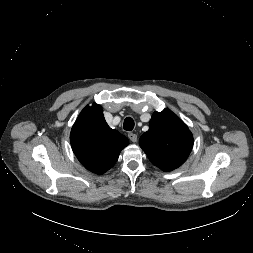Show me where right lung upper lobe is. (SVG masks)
I'll return each instance as SVG.
<instances>
[{"mask_svg": "<svg viewBox=\"0 0 253 253\" xmlns=\"http://www.w3.org/2000/svg\"><path fill=\"white\" fill-rule=\"evenodd\" d=\"M76 157L89 171L103 174L116 163L129 141L106 123L100 105L86 106L79 114L70 134Z\"/></svg>", "mask_w": 253, "mask_h": 253, "instance_id": "right-lung-upper-lobe-1", "label": "right lung upper lobe"}]
</instances>
